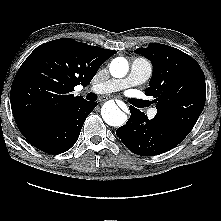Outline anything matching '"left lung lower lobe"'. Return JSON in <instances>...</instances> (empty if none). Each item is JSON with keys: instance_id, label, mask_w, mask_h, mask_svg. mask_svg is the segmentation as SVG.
Masks as SVG:
<instances>
[{"instance_id": "0a47b994", "label": "left lung lower lobe", "mask_w": 221, "mask_h": 221, "mask_svg": "<svg viewBox=\"0 0 221 221\" xmlns=\"http://www.w3.org/2000/svg\"><path fill=\"white\" fill-rule=\"evenodd\" d=\"M130 112L129 120L117 129L116 135L131 152L141 156L158 155L173 149L182 141L159 118L149 120L133 106H130Z\"/></svg>"}]
</instances>
